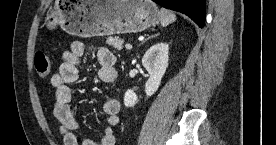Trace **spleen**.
Returning a JSON list of instances; mask_svg holds the SVG:
<instances>
[{
    "label": "spleen",
    "instance_id": "3e777b00",
    "mask_svg": "<svg viewBox=\"0 0 276 145\" xmlns=\"http://www.w3.org/2000/svg\"><path fill=\"white\" fill-rule=\"evenodd\" d=\"M175 20H176V15L173 12L165 8H161L160 21L163 27L168 26L170 23L174 22Z\"/></svg>",
    "mask_w": 276,
    "mask_h": 145
}]
</instances>
